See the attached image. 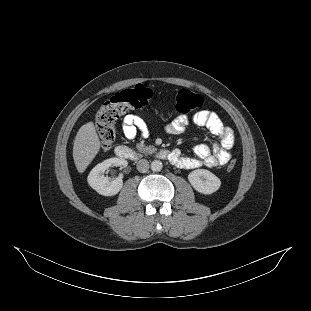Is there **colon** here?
Returning a JSON list of instances; mask_svg holds the SVG:
<instances>
[{"label":"colon","mask_w":311,"mask_h":311,"mask_svg":"<svg viewBox=\"0 0 311 311\" xmlns=\"http://www.w3.org/2000/svg\"><path fill=\"white\" fill-rule=\"evenodd\" d=\"M152 90L144 85H136L123 90L105 101L95 116L96 129L103 150H109L115 140V121L131 110L141 109L149 105L152 100ZM202 97L188 89L179 90L173 99L175 110L180 114H187L202 105ZM236 159L227 164L231 171L236 166Z\"/></svg>","instance_id":"1"}]
</instances>
